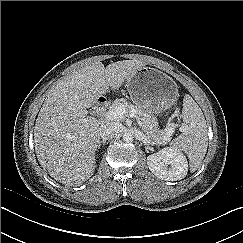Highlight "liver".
<instances>
[{
  "instance_id": "6515ba94",
  "label": "liver",
  "mask_w": 243,
  "mask_h": 243,
  "mask_svg": "<svg viewBox=\"0 0 243 243\" xmlns=\"http://www.w3.org/2000/svg\"><path fill=\"white\" fill-rule=\"evenodd\" d=\"M146 63L123 60L104 67L94 62L64 77L52 87L34 127L35 152L40 165L55 180L78 186L95 170V153L104 123L88 117L87 108L109 89H119Z\"/></svg>"
}]
</instances>
